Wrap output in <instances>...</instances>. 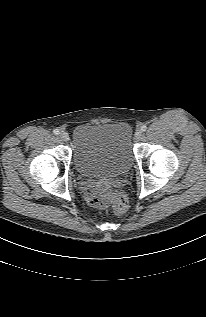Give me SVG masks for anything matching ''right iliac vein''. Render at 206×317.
Returning <instances> with one entry per match:
<instances>
[{
  "instance_id": "right-iliac-vein-1",
  "label": "right iliac vein",
  "mask_w": 206,
  "mask_h": 317,
  "mask_svg": "<svg viewBox=\"0 0 206 317\" xmlns=\"http://www.w3.org/2000/svg\"><path fill=\"white\" fill-rule=\"evenodd\" d=\"M60 138H61V140L67 142L69 140V135L66 132H61L60 133Z\"/></svg>"
}]
</instances>
